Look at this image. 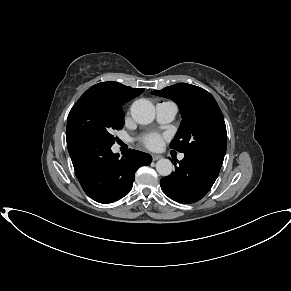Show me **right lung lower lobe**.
<instances>
[{"mask_svg": "<svg viewBox=\"0 0 291 291\" xmlns=\"http://www.w3.org/2000/svg\"><path fill=\"white\" fill-rule=\"evenodd\" d=\"M66 140L76 177L85 193L99 203L127 195L137 169L152 161L149 154L130 149L119 158L110 145L85 136H66Z\"/></svg>", "mask_w": 291, "mask_h": 291, "instance_id": "right-lung-lower-lobe-1", "label": "right lung lower lobe"}]
</instances>
